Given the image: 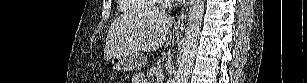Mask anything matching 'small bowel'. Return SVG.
Wrapping results in <instances>:
<instances>
[{
    "mask_svg": "<svg viewBox=\"0 0 307 83\" xmlns=\"http://www.w3.org/2000/svg\"><path fill=\"white\" fill-rule=\"evenodd\" d=\"M133 83H146V80H144L141 74H136L134 76Z\"/></svg>",
    "mask_w": 307,
    "mask_h": 83,
    "instance_id": "small-bowel-1",
    "label": "small bowel"
}]
</instances>
